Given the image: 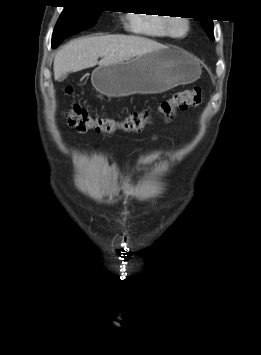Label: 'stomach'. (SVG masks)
Here are the masks:
<instances>
[{
    "mask_svg": "<svg viewBox=\"0 0 261 355\" xmlns=\"http://www.w3.org/2000/svg\"><path fill=\"white\" fill-rule=\"evenodd\" d=\"M199 60L182 49L166 47L127 61L99 65L91 76L93 86L108 97L158 94L196 81Z\"/></svg>",
    "mask_w": 261,
    "mask_h": 355,
    "instance_id": "1",
    "label": "stomach"
}]
</instances>
